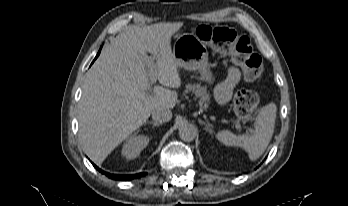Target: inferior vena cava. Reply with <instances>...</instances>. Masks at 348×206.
Masks as SVG:
<instances>
[{
    "mask_svg": "<svg viewBox=\"0 0 348 206\" xmlns=\"http://www.w3.org/2000/svg\"><path fill=\"white\" fill-rule=\"evenodd\" d=\"M151 115H152V119L159 123L168 122L172 118L171 110L162 108V107L155 108L151 112Z\"/></svg>",
    "mask_w": 348,
    "mask_h": 206,
    "instance_id": "1",
    "label": "inferior vena cava"
}]
</instances>
